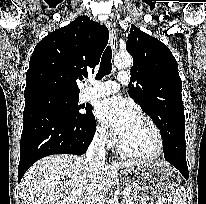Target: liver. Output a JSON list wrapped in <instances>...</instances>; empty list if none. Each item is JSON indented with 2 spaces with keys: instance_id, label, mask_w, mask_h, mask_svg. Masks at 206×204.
<instances>
[{
  "instance_id": "6515ba94",
  "label": "liver",
  "mask_w": 206,
  "mask_h": 204,
  "mask_svg": "<svg viewBox=\"0 0 206 204\" xmlns=\"http://www.w3.org/2000/svg\"><path fill=\"white\" fill-rule=\"evenodd\" d=\"M135 164L103 162L94 177L84 157L47 156L33 164L20 182L22 204H85L92 189L108 193L119 182L118 170Z\"/></svg>"
}]
</instances>
